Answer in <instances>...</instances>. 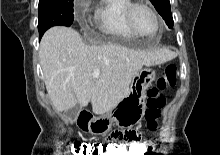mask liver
I'll return each instance as SVG.
<instances>
[{
  "instance_id": "1",
  "label": "liver",
  "mask_w": 220,
  "mask_h": 155,
  "mask_svg": "<svg viewBox=\"0 0 220 155\" xmlns=\"http://www.w3.org/2000/svg\"><path fill=\"white\" fill-rule=\"evenodd\" d=\"M39 57L48 96L58 112L91 102L94 114L103 115L127 95L144 65L167 62L174 54L166 49L87 45L74 29L55 26L43 35ZM95 69L100 70L98 79L93 77Z\"/></svg>"
}]
</instances>
